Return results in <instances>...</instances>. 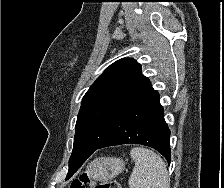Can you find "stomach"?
<instances>
[{"instance_id":"stomach-1","label":"stomach","mask_w":224,"mask_h":188,"mask_svg":"<svg viewBox=\"0 0 224 188\" xmlns=\"http://www.w3.org/2000/svg\"><path fill=\"white\" fill-rule=\"evenodd\" d=\"M124 167L125 163L121 158L98 157L88 164L86 173L90 179L102 181L116 177Z\"/></svg>"}]
</instances>
